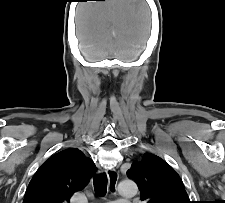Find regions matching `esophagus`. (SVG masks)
<instances>
[{
    "mask_svg": "<svg viewBox=\"0 0 225 203\" xmlns=\"http://www.w3.org/2000/svg\"><path fill=\"white\" fill-rule=\"evenodd\" d=\"M107 176L110 183V190L115 192L118 178H119L118 173L116 172V170L110 169V170H107Z\"/></svg>",
    "mask_w": 225,
    "mask_h": 203,
    "instance_id": "1",
    "label": "esophagus"
}]
</instances>
